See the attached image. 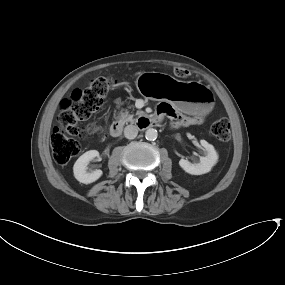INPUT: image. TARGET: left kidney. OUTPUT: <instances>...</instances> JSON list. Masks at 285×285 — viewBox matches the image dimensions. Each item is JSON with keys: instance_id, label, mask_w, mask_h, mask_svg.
I'll return each mask as SVG.
<instances>
[{"instance_id": "1", "label": "left kidney", "mask_w": 285, "mask_h": 285, "mask_svg": "<svg viewBox=\"0 0 285 285\" xmlns=\"http://www.w3.org/2000/svg\"><path fill=\"white\" fill-rule=\"evenodd\" d=\"M200 144L203 147L205 156L200 157L199 163L193 164L187 159H181L179 161L180 167L191 175L208 173L218 160V155L213 145L209 144L206 140H200Z\"/></svg>"}]
</instances>
